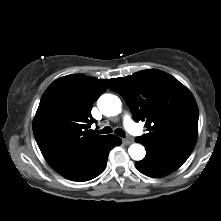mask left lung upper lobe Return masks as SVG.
Segmentation results:
<instances>
[{"mask_svg": "<svg viewBox=\"0 0 221 221\" xmlns=\"http://www.w3.org/2000/svg\"><path fill=\"white\" fill-rule=\"evenodd\" d=\"M110 88L123 96L134 120L146 121L149 132L138 140L154 145L196 142V101L173 76L157 69L143 70L116 78Z\"/></svg>", "mask_w": 221, "mask_h": 221, "instance_id": "obj_1", "label": "left lung upper lobe"}]
</instances>
